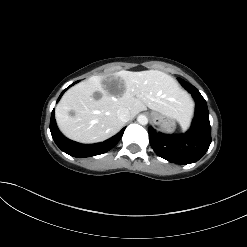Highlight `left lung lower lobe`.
Listing matches in <instances>:
<instances>
[{
	"label": "left lung lower lobe",
	"instance_id": "obj_1",
	"mask_svg": "<svg viewBox=\"0 0 247 247\" xmlns=\"http://www.w3.org/2000/svg\"><path fill=\"white\" fill-rule=\"evenodd\" d=\"M181 85L193 96L196 107L190 129L182 135H166L148 129L149 142L155 153L176 164H189L198 161L211 143L209 113L205 99L191 84L178 78Z\"/></svg>",
	"mask_w": 247,
	"mask_h": 247
}]
</instances>
